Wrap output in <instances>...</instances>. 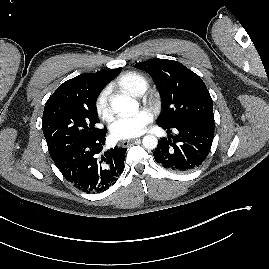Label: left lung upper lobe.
Instances as JSON below:
<instances>
[{
  "label": "left lung upper lobe",
  "mask_w": 269,
  "mask_h": 269,
  "mask_svg": "<svg viewBox=\"0 0 269 269\" xmlns=\"http://www.w3.org/2000/svg\"><path fill=\"white\" fill-rule=\"evenodd\" d=\"M134 67L150 74L161 94L160 125L174 127L189 120L214 121L213 101L206 85L183 64L155 58Z\"/></svg>",
  "instance_id": "left-lung-upper-lobe-1"
}]
</instances>
